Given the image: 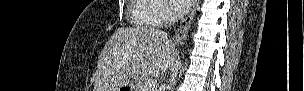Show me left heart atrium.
I'll use <instances>...</instances> for the list:
<instances>
[{"mask_svg":"<svg viewBox=\"0 0 304 91\" xmlns=\"http://www.w3.org/2000/svg\"><path fill=\"white\" fill-rule=\"evenodd\" d=\"M172 9L177 13H183L190 7V0H170Z\"/></svg>","mask_w":304,"mask_h":91,"instance_id":"left-heart-atrium-1","label":"left heart atrium"}]
</instances>
